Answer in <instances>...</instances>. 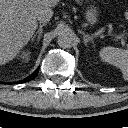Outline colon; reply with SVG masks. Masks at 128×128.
I'll return each mask as SVG.
<instances>
[{
    "mask_svg": "<svg viewBox=\"0 0 128 128\" xmlns=\"http://www.w3.org/2000/svg\"><path fill=\"white\" fill-rule=\"evenodd\" d=\"M125 18L128 20V10L125 11Z\"/></svg>",
    "mask_w": 128,
    "mask_h": 128,
    "instance_id": "1",
    "label": "colon"
}]
</instances>
